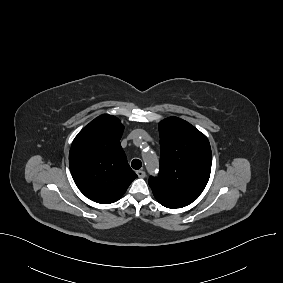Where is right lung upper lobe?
Listing matches in <instances>:
<instances>
[{
  "instance_id": "cb5924a9",
  "label": "right lung upper lobe",
  "mask_w": 283,
  "mask_h": 283,
  "mask_svg": "<svg viewBox=\"0 0 283 283\" xmlns=\"http://www.w3.org/2000/svg\"><path fill=\"white\" fill-rule=\"evenodd\" d=\"M123 131L119 119L104 114L73 140L69 153L71 174L79 190L94 202L117 201L137 177L120 145Z\"/></svg>"
}]
</instances>
